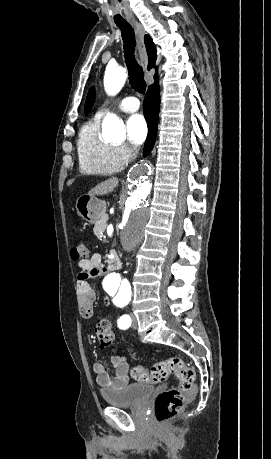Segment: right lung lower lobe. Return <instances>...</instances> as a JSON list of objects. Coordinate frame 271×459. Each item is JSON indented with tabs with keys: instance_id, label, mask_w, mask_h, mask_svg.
<instances>
[{
	"instance_id": "1",
	"label": "right lung lower lobe",
	"mask_w": 271,
	"mask_h": 459,
	"mask_svg": "<svg viewBox=\"0 0 271 459\" xmlns=\"http://www.w3.org/2000/svg\"><path fill=\"white\" fill-rule=\"evenodd\" d=\"M156 82L153 85L148 87L144 99V115L148 123L149 132L144 145V156H147L155 143L157 135V125L159 118V109H160V94H159V85L158 79H155Z\"/></svg>"
}]
</instances>
